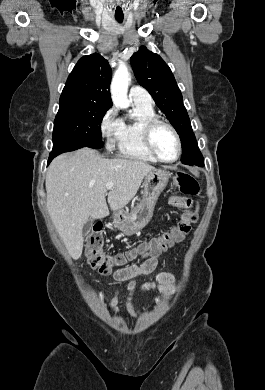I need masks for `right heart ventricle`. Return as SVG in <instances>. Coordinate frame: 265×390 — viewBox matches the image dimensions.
<instances>
[{
  "instance_id": "right-heart-ventricle-1",
  "label": "right heart ventricle",
  "mask_w": 265,
  "mask_h": 390,
  "mask_svg": "<svg viewBox=\"0 0 265 390\" xmlns=\"http://www.w3.org/2000/svg\"><path fill=\"white\" fill-rule=\"evenodd\" d=\"M135 119L130 122L122 121L121 127L115 139L118 155L127 159L155 163L157 160L151 155L142 138L143 125L156 117L152 105L133 104Z\"/></svg>"
}]
</instances>
